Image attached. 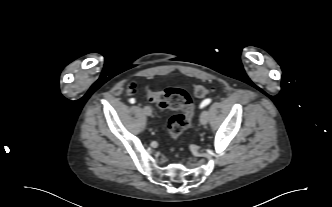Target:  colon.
Segmentation results:
<instances>
[{"label": "colon", "mask_w": 332, "mask_h": 207, "mask_svg": "<svg viewBox=\"0 0 332 207\" xmlns=\"http://www.w3.org/2000/svg\"><path fill=\"white\" fill-rule=\"evenodd\" d=\"M135 86H131L129 92H134ZM212 92L211 89L197 85L194 94L197 97H204ZM148 99L160 108L178 110L179 113L173 115L168 122L170 137L176 140L189 126L193 115V106L189 94L177 88H169L164 91L147 90Z\"/></svg>", "instance_id": "5ec220e1"}]
</instances>
